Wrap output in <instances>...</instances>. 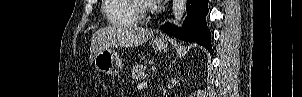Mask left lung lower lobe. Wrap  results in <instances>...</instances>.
<instances>
[{"mask_svg": "<svg viewBox=\"0 0 302 97\" xmlns=\"http://www.w3.org/2000/svg\"><path fill=\"white\" fill-rule=\"evenodd\" d=\"M208 0H187L183 29L165 24L161 29L170 35L187 42L196 41L207 49H211V34L206 25L205 16L208 13Z\"/></svg>", "mask_w": 302, "mask_h": 97, "instance_id": "1", "label": "left lung lower lobe"}]
</instances>
